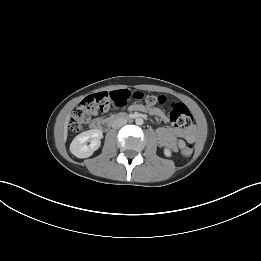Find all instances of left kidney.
<instances>
[{"label": "left kidney", "mask_w": 261, "mask_h": 261, "mask_svg": "<svg viewBox=\"0 0 261 261\" xmlns=\"http://www.w3.org/2000/svg\"><path fill=\"white\" fill-rule=\"evenodd\" d=\"M164 154L167 156V157H170L171 156V151L169 149H165L164 150Z\"/></svg>", "instance_id": "left-kidney-1"}]
</instances>
